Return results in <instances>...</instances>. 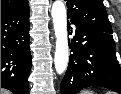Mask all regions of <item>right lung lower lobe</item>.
Wrapping results in <instances>:
<instances>
[{"instance_id":"right-lung-lower-lobe-1","label":"right lung lower lobe","mask_w":121,"mask_h":94,"mask_svg":"<svg viewBox=\"0 0 121 94\" xmlns=\"http://www.w3.org/2000/svg\"><path fill=\"white\" fill-rule=\"evenodd\" d=\"M29 5L1 15V87L29 94L31 70Z\"/></svg>"}]
</instances>
